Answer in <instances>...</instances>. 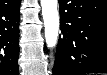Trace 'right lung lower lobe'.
Masks as SVG:
<instances>
[{
	"instance_id": "1",
	"label": "right lung lower lobe",
	"mask_w": 107,
	"mask_h": 75,
	"mask_svg": "<svg viewBox=\"0 0 107 75\" xmlns=\"http://www.w3.org/2000/svg\"><path fill=\"white\" fill-rule=\"evenodd\" d=\"M21 0L0 1V75H19Z\"/></svg>"
}]
</instances>
